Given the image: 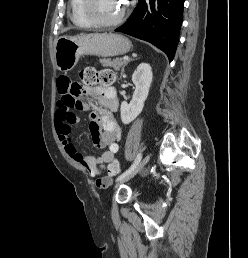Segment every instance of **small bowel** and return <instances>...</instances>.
<instances>
[{
	"mask_svg": "<svg viewBox=\"0 0 248 258\" xmlns=\"http://www.w3.org/2000/svg\"><path fill=\"white\" fill-rule=\"evenodd\" d=\"M72 85L70 79L66 77L57 81L59 99L54 120L55 128L66 153L76 163L84 166L91 176L100 177L115 160V155L119 151L122 132L114 117V112L119 104L118 98L115 89L110 85L94 86L85 91V94L94 100V110L89 114L92 143L96 148L107 147V150L99 157L86 155L76 148L71 134L72 127L80 121L74 110L86 111L89 109V105L73 95L70 90ZM112 183L113 180L110 177H101L99 189L109 190Z\"/></svg>",
	"mask_w": 248,
	"mask_h": 258,
	"instance_id": "1",
	"label": "small bowel"
}]
</instances>
